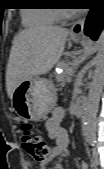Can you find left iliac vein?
<instances>
[{
  "mask_svg": "<svg viewBox=\"0 0 104 169\" xmlns=\"http://www.w3.org/2000/svg\"><path fill=\"white\" fill-rule=\"evenodd\" d=\"M93 162L95 165L100 164L99 152L97 151L96 148L93 150Z\"/></svg>",
  "mask_w": 104,
  "mask_h": 169,
  "instance_id": "4c4485c4",
  "label": "left iliac vein"
}]
</instances>
